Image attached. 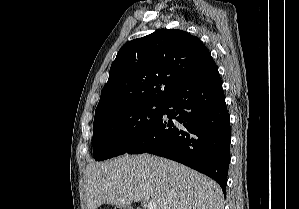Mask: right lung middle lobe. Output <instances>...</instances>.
Segmentation results:
<instances>
[{
	"label": "right lung middle lobe",
	"mask_w": 299,
	"mask_h": 209,
	"mask_svg": "<svg viewBox=\"0 0 299 209\" xmlns=\"http://www.w3.org/2000/svg\"><path fill=\"white\" fill-rule=\"evenodd\" d=\"M164 102L119 106L94 118L93 153L96 161L127 152L162 115Z\"/></svg>",
	"instance_id": "obj_1"
}]
</instances>
